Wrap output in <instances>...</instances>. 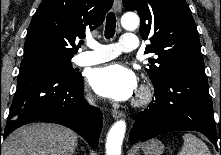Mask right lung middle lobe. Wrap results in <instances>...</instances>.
<instances>
[{"mask_svg":"<svg viewBox=\"0 0 221 155\" xmlns=\"http://www.w3.org/2000/svg\"><path fill=\"white\" fill-rule=\"evenodd\" d=\"M71 58L72 57H64L49 53L34 54L24 56L21 65H24L26 63L43 64L56 69L67 78H75L80 76L81 74L73 69Z\"/></svg>","mask_w":221,"mask_h":155,"instance_id":"right-lung-middle-lobe-1","label":"right lung middle lobe"}]
</instances>
